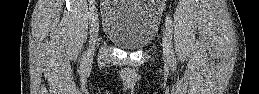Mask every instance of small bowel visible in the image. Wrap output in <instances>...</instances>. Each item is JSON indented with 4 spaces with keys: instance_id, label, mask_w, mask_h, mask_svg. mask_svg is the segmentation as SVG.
Instances as JSON below:
<instances>
[{
    "instance_id": "small-bowel-1",
    "label": "small bowel",
    "mask_w": 259,
    "mask_h": 94,
    "mask_svg": "<svg viewBox=\"0 0 259 94\" xmlns=\"http://www.w3.org/2000/svg\"><path fill=\"white\" fill-rule=\"evenodd\" d=\"M159 4V6H160V8H161V6H162V3H158Z\"/></svg>"
}]
</instances>
